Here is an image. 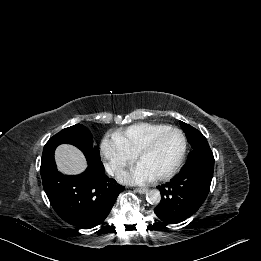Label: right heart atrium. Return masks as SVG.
<instances>
[{
  "label": "right heart atrium",
  "instance_id": "1",
  "mask_svg": "<svg viewBox=\"0 0 261 261\" xmlns=\"http://www.w3.org/2000/svg\"><path fill=\"white\" fill-rule=\"evenodd\" d=\"M101 153L109 174L119 175L124 168L133 162L131 155L114 137H105L101 141Z\"/></svg>",
  "mask_w": 261,
  "mask_h": 261
}]
</instances>
